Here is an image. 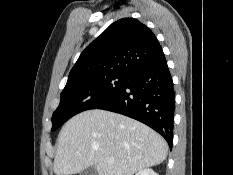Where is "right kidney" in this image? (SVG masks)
<instances>
[{
    "label": "right kidney",
    "mask_w": 233,
    "mask_h": 175,
    "mask_svg": "<svg viewBox=\"0 0 233 175\" xmlns=\"http://www.w3.org/2000/svg\"><path fill=\"white\" fill-rule=\"evenodd\" d=\"M135 175H158V174L154 172L152 169L146 168V169L140 170Z\"/></svg>",
    "instance_id": "ca27d5eb"
}]
</instances>
